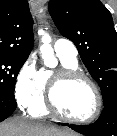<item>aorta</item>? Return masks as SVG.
<instances>
[{
	"label": "aorta",
	"instance_id": "1",
	"mask_svg": "<svg viewBox=\"0 0 117 136\" xmlns=\"http://www.w3.org/2000/svg\"><path fill=\"white\" fill-rule=\"evenodd\" d=\"M41 41L43 44L40 47V51L42 53L44 64L47 67L53 68L56 66V58L54 57L53 48L50 45L51 37L47 33L43 32Z\"/></svg>",
	"mask_w": 117,
	"mask_h": 136
}]
</instances>
